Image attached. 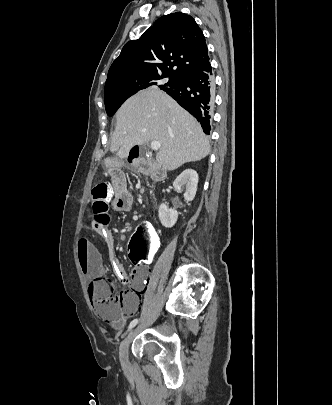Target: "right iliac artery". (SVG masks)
<instances>
[{
    "mask_svg": "<svg viewBox=\"0 0 332 405\" xmlns=\"http://www.w3.org/2000/svg\"><path fill=\"white\" fill-rule=\"evenodd\" d=\"M138 319H134L130 322L129 326H128V331L131 330L134 326H136V324L138 323Z\"/></svg>",
    "mask_w": 332,
    "mask_h": 405,
    "instance_id": "right-iliac-artery-1",
    "label": "right iliac artery"
}]
</instances>
